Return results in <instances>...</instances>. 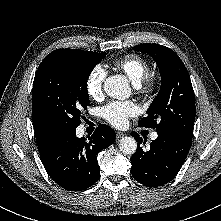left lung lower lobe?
I'll list each match as a JSON object with an SVG mask.
<instances>
[{
	"instance_id": "1",
	"label": "left lung lower lobe",
	"mask_w": 221,
	"mask_h": 221,
	"mask_svg": "<svg viewBox=\"0 0 221 221\" xmlns=\"http://www.w3.org/2000/svg\"><path fill=\"white\" fill-rule=\"evenodd\" d=\"M148 150L143 149L142 138L131 135L139 145L131 157V173L135 180L149 187L162 186L172 180L181 169L192 145V138L171 131H158ZM146 141H144V144Z\"/></svg>"
}]
</instances>
